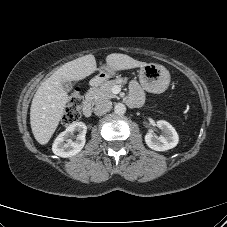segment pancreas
<instances>
[{"label": "pancreas", "instance_id": "obj_1", "mask_svg": "<svg viewBox=\"0 0 227 227\" xmlns=\"http://www.w3.org/2000/svg\"><path fill=\"white\" fill-rule=\"evenodd\" d=\"M125 83L126 79L123 78L106 81L100 87L90 89L87 92L86 96L93 103H98L103 100L117 98V96L113 94L112 88L116 85L122 86Z\"/></svg>", "mask_w": 227, "mask_h": 227}]
</instances>
